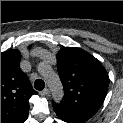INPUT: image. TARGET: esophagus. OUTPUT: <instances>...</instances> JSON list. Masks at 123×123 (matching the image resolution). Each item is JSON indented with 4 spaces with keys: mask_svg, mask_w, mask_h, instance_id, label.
Returning a JSON list of instances; mask_svg holds the SVG:
<instances>
[{
    "mask_svg": "<svg viewBox=\"0 0 123 123\" xmlns=\"http://www.w3.org/2000/svg\"><path fill=\"white\" fill-rule=\"evenodd\" d=\"M41 95L47 96L49 94V90L45 88L43 91L40 92Z\"/></svg>",
    "mask_w": 123,
    "mask_h": 123,
    "instance_id": "obj_1",
    "label": "esophagus"
}]
</instances>
